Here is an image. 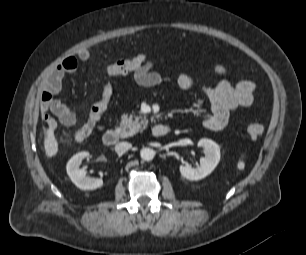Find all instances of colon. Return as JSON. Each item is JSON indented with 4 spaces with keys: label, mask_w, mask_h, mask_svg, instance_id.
I'll return each instance as SVG.
<instances>
[{
    "label": "colon",
    "mask_w": 306,
    "mask_h": 255,
    "mask_svg": "<svg viewBox=\"0 0 306 255\" xmlns=\"http://www.w3.org/2000/svg\"><path fill=\"white\" fill-rule=\"evenodd\" d=\"M148 58L145 54H136L130 58L117 59L107 66V73L111 76H121L133 72L134 70L146 64ZM112 96V87L109 83H105L102 87L100 98L95 102L88 114L86 123L81 126L75 133V139L78 142L86 140L94 131L97 123L106 111ZM247 133L257 138L264 132V127L259 123H248L246 125Z\"/></svg>",
    "instance_id": "obj_1"
}]
</instances>
